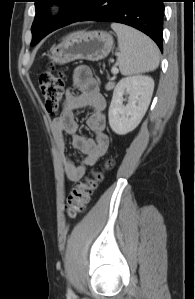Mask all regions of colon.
I'll list each match as a JSON object with an SVG mask.
<instances>
[{"mask_svg": "<svg viewBox=\"0 0 195 299\" xmlns=\"http://www.w3.org/2000/svg\"><path fill=\"white\" fill-rule=\"evenodd\" d=\"M65 77L61 72L50 68L39 77V87L46 111L54 116L59 111L60 102L63 96ZM113 165L111 160L105 163V168L109 169ZM103 179L102 171H92L91 174L82 181H78L72 188L65 204V211L70 219H75L84 213L90 200V196Z\"/></svg>", "mask_w": 195, "mask_h": 299, "instance_id": "1", "label": "colon"}]
</instances>
